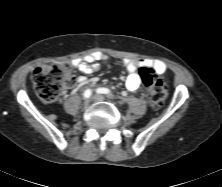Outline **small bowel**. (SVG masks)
<instances>
[{"mask_svg": "<svg viewBox=\"0 0 222 187\" xmlns=\"http://www.w3.org/2000/svg\"><path fill=\"white\" fill-rule=\"evenodd\" d=\"M106 55L103 53H94L88 55L84 59H75L72 61V65L82 72L83 74H90L100 68V64L97 61L105 60ZM124 65L129 73L126 79V87L129 91H137L141 84V78L139 75V69L146 67L153 70L157 74H162L166 70V66L163 62L150 59H125ZM77 82L80 85H85L88 79L85 75H80L77 78Z\"/></svg>", "mask_w": 222, "mask_h": 187, "instance_id": "small-bowel-1", "label": "small bowel"}]
</instances>
